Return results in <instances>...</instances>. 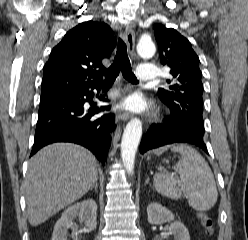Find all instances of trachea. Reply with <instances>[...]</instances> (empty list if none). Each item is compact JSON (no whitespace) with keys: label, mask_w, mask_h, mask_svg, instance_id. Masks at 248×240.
I'll return each instance as SVG.
<instances>
[{"label":"trachea","mask_w":248,"mask_h":240,"mask_svg":"<svg viewBox=\"0 0 248 240\" xmlns=\"http://www.w3.org/2000/svg\"><path fill=\"white\" fill-rule=\"evenodd\" d=\"M120 71L125 79L132 83H137V78L132 72L130 60L127 55V47L124 41L119 38L115 59L112 65L105 71L104 84H112Z\"/></svg>","instance_id":"1"}]
</instances>
